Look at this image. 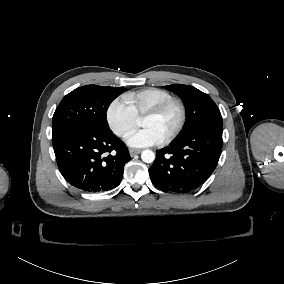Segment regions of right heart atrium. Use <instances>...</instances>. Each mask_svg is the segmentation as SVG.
I'll use <instances>...</instances> for the list:
<instances>
[{
	"label": "right heart atrium",
	"instance_id": "right-heart-atrium-1",
	"mask_svg": "<svg viewBox=\"0 0 284 284\" xmlns=\"http://www.w3.org/2000/svg\"><path fill=\"white\" fill-rule=\"evenodd\" d=\"M105 121L115 136L123 138L136 124L137 115L122 97H117L107 105Z\"/></svg>",
	"mask_w": 284,
	"mask_h": 284
}]
</instances>
